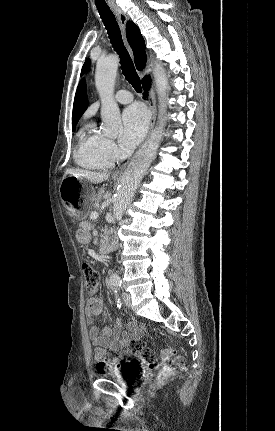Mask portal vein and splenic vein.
<instances>
[{
  "label": "portal vein and splenic vein",
  "mask_w": 275,
  "mask_h": 431,
  "mask_svg": "<svg viewBox=\"0 0 275 431\" xmlns=\"http://www.w3.org/2000/svg\"><path fill=\"white\" fill-rule=\"evenodd\" d=\"M99 216V214H98V212H92L91 214H90V219H96L97 217Z\"/></svg>",
  "instance_id": "18ae733b"
}]
</instances>
